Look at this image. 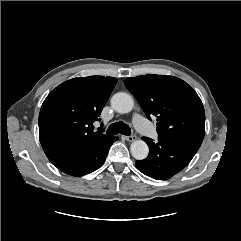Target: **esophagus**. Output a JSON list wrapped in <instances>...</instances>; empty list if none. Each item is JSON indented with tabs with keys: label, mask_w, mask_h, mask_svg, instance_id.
Segmentation results:
<instances>
[{
	"label": "esophagus",
	"mask_w": 241,
	"mask_h": 241,
	"mask_svg": "<svg viewBox=\"0 0 241 241\" xmlns=\"http://www.w3.org/2000/svg\"><path fill=\"white\" fill-rule=\"evenodd\" d=\"M125 139L128 142H133L134 140H136V136L135 135H128V136H125Z\"/></svg>",
	"instance_id": "1"
}]
</instances>
